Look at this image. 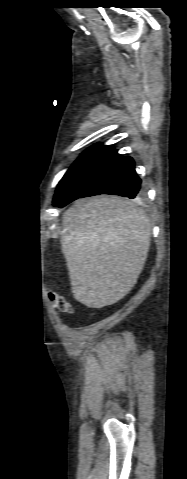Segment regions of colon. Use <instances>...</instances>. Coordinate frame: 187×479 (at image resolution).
Returning <instances> with one entry per match:
<instances>
[{"mask_svg": "<svg viewBox=\"0 0 187 479\" xmlns=\"http://www.w3.org/2000/svg\"><path fill=\"white\" fill-rule=\"evenodd\" d=\"M49 299L60 312L67 314L73 312L72 305L66 297L55 293H49Z\"/></svg>", "mask_w": 187, "mask_h": 479, "instance_id": "1", "label": "colon"}]
</instances>
